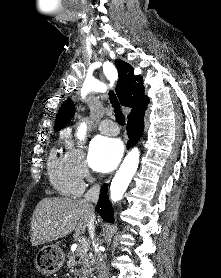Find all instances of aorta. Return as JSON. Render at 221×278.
I'll use <instances>...</instances> for the list:
<instances>
[{"instance_id": "obj_1", "label": "aorta", "mask_w": 221, "mask_h": 278, "mask_svg": "<svg viewBox=\"0 0 221 278\" xmlns=\"http://www.w3.org/2000/svg\"><path fill=\"white\" fill-rule=\"evenodd\" d=\"M86 134V125L81 124L77 136L83 139ZM140 152L137 148L132 149L124 159L121 167L116 172L110 186V197L113 202L122 199L139 164Z\"/></svg>"}]
</instances>
